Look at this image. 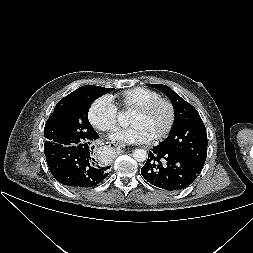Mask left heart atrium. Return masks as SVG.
<instances>
[{
	"instance_id": "39dd6f15",
	"label": "left heart atrium",
	"mask_w": 253,
	"mask_h": 253,
	"mask_svg": "<svg viewBox=\"0 0 253 253\" xmlns=\"http://www.w3.org/2000/svg\"><path fill=\"white\" fill-rule=\"evenodd\" d=\"M111 139L125 144L148 143L154 139L153 135L142 125H132L117 130Z\"/></svg>"
}]
</instances>
